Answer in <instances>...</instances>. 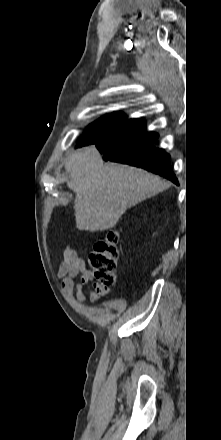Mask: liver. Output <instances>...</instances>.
I'll return each mask as SVG.
<instances>
[{
	"label": "liver",
	"instance_id": "6515ba94",
	"mask_svg": "<svg viewBox=\"0 0 221 440\" xmlns=\"http://www.w3.org/2000/svg\"><path fill=\"white\" fill-rule=\"evenodd\" d=\"M67 186L75 194L76 227L104 231L115 227L130 207L169 187L160 177L128 165L104 163L95 146L71 155Z\"/></svg>",
	"mask_w": 221,
	"mask_h": 440
}]
</instances>
